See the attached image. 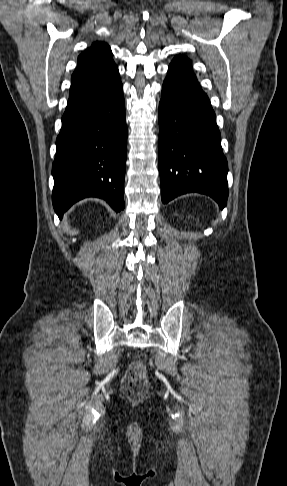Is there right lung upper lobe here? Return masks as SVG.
I'll return each instance as SVG.
<instances>
[{
    "instance_id": "cb5924a9",
    "label": "right lung upper lobe",
    "mask_w": 287,
    "mask_h": 486,
    "mask_svg": "<svg viewBox=\"0 0 287 486\" xmlns=\"http://www.w3.org/2000/svg\"><path fill=\"white\" fill-rule=\"evenodd\" d=\"M119 77L108 44L94 42L78 57V66L71 77L70 95L94 88Z\"/></svg>"
}]
</instances>
